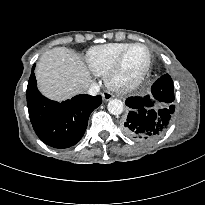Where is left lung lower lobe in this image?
Masks as SVG:
<instances>
[{
    "mask_svg": "<svg viewBox=\"0 0 205 205\" xmlns=\"http://www.w3.org/2000/svg\"><path fill=\"white\" fill-rule=\"evenodd\" d=\"M170 96L158 87L151 89V95L129 97L126 105L130 108L122 123L123 132L140 142H151L159 138L169 127L175 106L169 103Z\"/></svg>",
    "mask_w": 205,
    "mask_h": 205,
    "instance_id": "obj_1",
    "label": "left lung lower lobe"
}]
</instances>
